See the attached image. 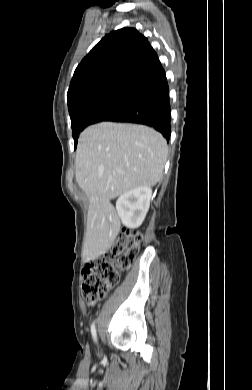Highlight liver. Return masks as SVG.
<instances>
[{"label":"liver","instance_id":"6515ba94","mask_svg":"<svg viewBox=\"0 0 252 390\" xmlns=\"http://www.w3.org/2000/svg\"><path fill=\"white\" fill-rule=\"evenodd\" d=\"M167 142L143 125L101 122L79 137L76 181L89 200L83 260L106 253L120 232V219L110 200L162 177Z\"/></svg>","mask_w":252,"mask_h":390}]
</instances>
